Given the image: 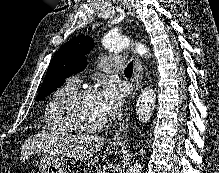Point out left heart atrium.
Instances as JSON below:
<instances>
[{"mask_svg":"<svg viewBox=\"0 0 219 173\" xmlns=\"http://www.w3.org/2000/svg\"><path fill=\"white\" fill-rule=\"evenodd\" d=\"M95 94L97 102L106 118L114 116L120 111L124 99V92L114 83H104Z\"/></svg>","mask_w":219,"mask_h":173,"instance_id":"39dd6f15","label":"left heart atrium"}]
</instances>
